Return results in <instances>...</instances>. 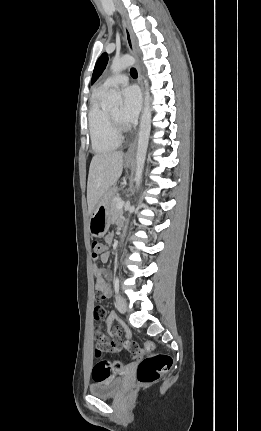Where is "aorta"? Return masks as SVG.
Instances as JSON below:
<instances>
[{
  "mask_svg": "<svg viewBox=\"0 0 261 431\" xmlns=\"http://www.w3.org/2000/svg\"><path fill=\"white\" fill-rule=\"evenodd\" d=\"M135 64V59L131 56H123L120 58H114L111 63V71L113 73L121 72L122 70L132 66ZM145 84V100H144V109L141 117L139 138H138V147L136 153V172L134 181L136 186L138 187L141 182L142 172L144 168V163L146 159L148 140L151 129V104H150V94H149V85L148 81H144ZM108 105L111 107H116L122 102L121 92L117 89H110L107 96ZM134 210V206L130 208V213ZM126 231V226L123 231V236Z\"/></svg>",
  "mask_w": 261,
  "mask_h": 431,
  "instance_id": "762f6f07",
  "label": "aorta"
}]
</instances>
